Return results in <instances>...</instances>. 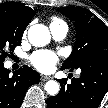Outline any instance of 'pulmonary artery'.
Instances as JSON below:
<instances>
[{
  "label": "pulmonary artery",
  "mask_w": 108,
  "mask_h": 108,
  "mask_svg": "<svg viewBox=\"0 0 108 108\" xmlns=\"http://www.w3.org/2000/svg\"><path fill=\"white\" fill-rule=\"evenodd\" d=\"M50 31L53 36V38L57 41L63 40L68 32V26L66 23H53L50 24Z\"/></svg>",
  "instance_id": "1"
}]
</instances>
